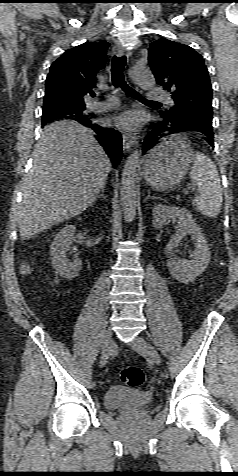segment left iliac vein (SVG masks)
I'll use <instances>...</instances> for the list:
<instances>
[{
  "mask_svg": "<svg viewBox=\"0 0 238 476\" xmlns=\"http://www.w3.org/2000/svg\"><path fill=\"white\" fill-rule=\"evenodd\" d=\"M131 346L136 352L147 357L151 362L156 365L161 364V358L157 350L142 337L136 336Z\"/></svg>",
  "mask_w": 238,
  "mask_h": 476,
  "instance_id": "obj_1",
  "label": "left iliac vein"
}]
</instances>
